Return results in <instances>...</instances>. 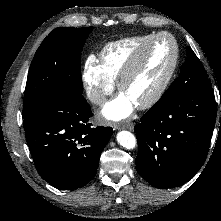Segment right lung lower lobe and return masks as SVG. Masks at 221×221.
<instances>
[{"label":"right lung lower lobe","mask_w":221,"mask_h":221,"mask_svg":"<svg viewBox=\"0 0 221 221\" xmlns=\"http://www.w3.org/2000/svg\"><path fill=\"white\" fill-rule=\"evenodd\" d=\"M82 94L63 93L39 104L23 121L39 175L52 186L72 190L95 176L111 127L92 128Z\"/></svg>","instance_id":"right-lung-lower-lobe-1"}]
</instances>
